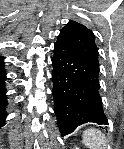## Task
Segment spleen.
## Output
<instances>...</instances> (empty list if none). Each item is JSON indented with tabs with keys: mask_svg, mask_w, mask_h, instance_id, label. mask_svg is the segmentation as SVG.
I'll use <instances>...</instances> for the list:
<instances>
[{
	"mask_svg": "<svg viewBox=\"0 0 124 149\" xmlns=\"http://www.w3.org/2000/svg\"><path fill=\"white\" fill-rule=\"evenodd\" d=\"M91 136L92 139L86 138ZM83 142L89 147V149H105L106 140L101 133L95 129H89L84 132Z\"/></svg>",
	"mask_w": 124,
	"mask_h": 149,
	"instance_id": "spleen-1",
	"label": "spleen"
}]
</instances>
